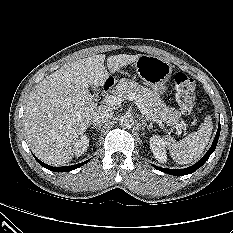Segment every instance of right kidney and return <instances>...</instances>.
Instances as JSON below:
<instances>
[{
  "label": "right kidney",
  "instance_id": "ca27d5eb",
  "mask_svg": "<svg viewBox=\"0 0 233 233\" xmlns=\"http://www.w3.org/2000/svg\"><path fill=\"white\" fill-rule=\"evenodd\" d=\"M89 147V138L85 135H82L74 145V154L76 156L82 155L86 152L87 148Z\"/></svg>",
  "mask_w": 233,
  "mask_h": 233
}]
</instances>
